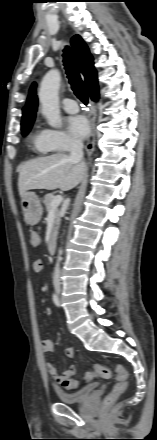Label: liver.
I'll list each match as a JSON object with an SVG mask.
<instances>
[{
	"instance_id": "liver-1",
	"label": "liver",
	"mask_w": 157,
	"mask_h": 440,
	"mask_svg": "<svg viewBox=\"0 0 157 440\" xmlns=\"http://www.w3.org/2000/svg\"><path fill=\"white\" fill-rule=\"evenodd\" d=\"M83 163H73L66 154H54L25 162L19 167L18 189L21 198L28 190L68 191L84 177Z\"/></svg>"
}]
</instances>
